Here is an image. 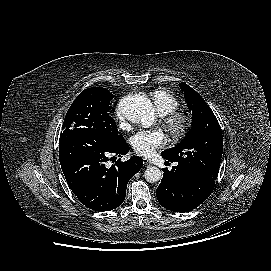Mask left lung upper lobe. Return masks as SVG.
<instances>
[{"label": "left lung upper lobe", "instance_id": "5c2ea615", "mask_svg": "<svg viewBox=\"0 0 271 271\" xmlns=\"http://www.w3.org/2000/svg\"><path fill=\"white\" fill-rule=\"evenodd\" d=\"M181 89L193 114L192 128L179 144L164 150L161 155L216 180L223 152L220 125L199 93L185 83L181 84Z\"/></svg>", "mask_w": 271, "mask_h": 271}]
</instances>
